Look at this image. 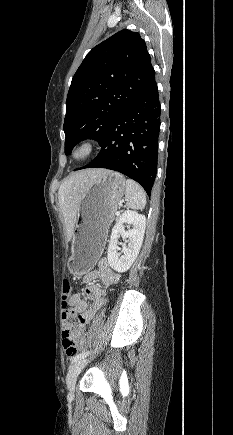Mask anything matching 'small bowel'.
<instances>
[{"instance_id": "obj_1", "label": "small bowel", "mask_w": 233, "mask_h": 435, "mask_svg": "<svg viewBox=\"0 0 233 435\" xmlns=\"http://www.w3.org/2000/svg\"><path fill=\"white\" fill-rule=\"evenodd\" d=\"M97 278L100 281L94 284L93 281ZM83 280L86 285L80 292L70 296V309L62 314L63 330L66 328L71 330L74 326L76 328V344L78 347H83L86 342L88 334L86 325L107 302L105 290L115 285L119 280V276L109 267L107 259L102 258L98 262L97 269L88 272ZM88 300H92L93 304L89 305ZM77 315H80L79 322L73 325L69 320Z\"/></svg>"}]
</instances>
